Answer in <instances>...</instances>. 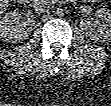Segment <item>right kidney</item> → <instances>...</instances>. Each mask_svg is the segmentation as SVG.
Instances as JSON below:
<instances>
[{
    "mask_svg": "<svg viewBox=\"0 0 111 106\" xmlns=\"http://www.w3.org/2000/svg\"><path fill=\"white\" fill-rule=\"evenodd\" d=\"M35 16L31 12L15 9L7 12L1 20V38L6 42H19L33 31Z\"/></svg>",
    "mask_w": 111,
    "mask_h": 106,
    "instance_id": "obj_1",
    "label": "right kidney"
}]
</instances>
